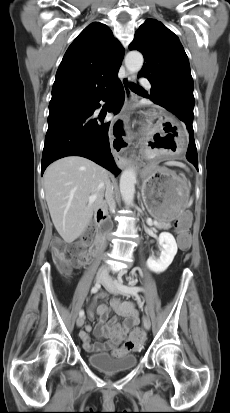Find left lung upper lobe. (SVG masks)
Masks as SVG:
<instances>
[{"label": "left lung upper lobe", "instance_id": "1", "mask_svg": "<svg viewBox=\"0 0 230 413\" xmlns=\"http://www.w3.org/2000/svg\"><path fill=\"white\" fill-rule=\"evenodd\" d=\"M130 50L144 56L138 76L152 85L150 99L173 113L186 126L193 122V79L188 57L178 37L156 19H147L138 29Z\"/></svg>", "mask_w": 230, "mask_h": 413}]
</instances>
